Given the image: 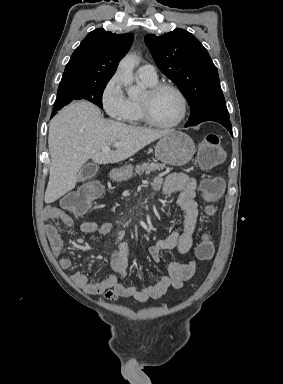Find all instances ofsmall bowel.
<instances>
[{
    "instance_id": "obj_1",
    "label": "small bowel",
    "mask_w": 283,
    "mask_h": 384,
    "mask_svg": "<svg viewBox=\"0 0 283 384\" xmlns=\"http://www.w3.org/2000/svg\"><path fill=\"white\" fill-rule=\"evenodd\" d=\"M156 190L165 194L177 193V205L184 212L183 229H175L166 238L158 240L149 248L150 257L155 262H160V254L163 250L177 249L182 255L190 253L195 230L198 207L195 201L197 183L193 177L186 173H170L166 176H159L153 183ZM46 219L45 232L49 240L52 252L59 265L63 269L71 266V259L64 253V242L54 224L55 220L62 221L67 226L73 225L72 218L59 207L48 206L45 209ZM114 229L112 223H98L94 221L83 222L80 231L85 234L107 235ZM129 248L125 241H121L111 255L110 263L114 274L110 277L93 282L91 277L82 272H76L72 276L73 282L85 293L92 296H100L109 301H116L120 298H133L139 302L149 299H158L168 289H180L183 283L191 279L195 273L196 261L190 257L185 261H173L167 266L168 275L161 277L157 283L148 287L130 286L120 282L126 274L128 267Z\"/></svg>"
}]
</instances>
